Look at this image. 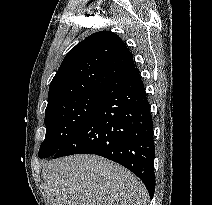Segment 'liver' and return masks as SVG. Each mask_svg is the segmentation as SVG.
<instances>
[{
	"label": "liver",
	"mask_w": 212,
	"mask_h": 205,
	"mask_svg": "<svg viewBox=\"0 0 212 205\" xmlns=\"http://www.w3.org/2000/svg\"><path fill=\"white\" fill-rule=\"evenodd\" d=\"M43 177L50 205H146L148 197L133 173L97 155L50 161Z\"/></svg>",
	"instance_id": "6515ba94"
}]
</instances>
